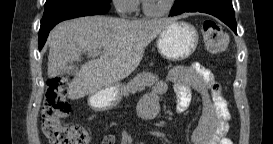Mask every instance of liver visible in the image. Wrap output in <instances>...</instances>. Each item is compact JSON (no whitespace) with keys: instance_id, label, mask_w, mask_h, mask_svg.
Returning <instances> with one entry per match:
<instances>
[{"instance_id":"1","label":"liver","mask_w":273,"mask_h":144,"mask_svg":"<svg viewBox=\"0 0 273 144\" xmlns=\"http://www.w3.org/2000/svg\"><path fill=\"white\" fill-rule=\"evenodd\" d=\"M175 18L128 20L87 16L58 24L48 36V77L69 70L81 54L103 49L101 56L81 66L69 85L68 98L80 99L109 88L140 64L145 47Z\"/></svg>"}]
</instances>
